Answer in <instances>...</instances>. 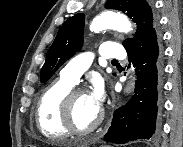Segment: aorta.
<instances>
[{
    "label": "aorta",
    "instance_id": "1",
    "mask_svg": "<svg viewBox=\"0 0 183 147\" xmlns=\"http://www.w3.org/2000/svg\"><path fill=\"white\" fill-rule=\"evenodd\" d=\"M104 29H114L118 32L128 33L132 30V26L128 18L121 13L103 12L92 20L90 30L100 32Z\"/></svg>",
    "mask_w": 183,
    "mask_h": 147
}]
</instances>
